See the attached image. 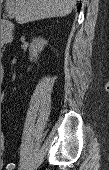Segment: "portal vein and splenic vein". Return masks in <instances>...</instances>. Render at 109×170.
<instances>
[{
  "label": "portal vein and splenic vein",
  "mask_w": 109,
  "mask_h": 170,
  "mask_svg": "<svg viewBox=\"0 0 109 170\" xmlns=\"http://www.w3.org/2000/svg\"><path fill=\"white\" fill-rule=\"evenodd\" d=\"M6 12H7V15H8L9 18H14L15 17V13H14L13 9L10 6L6 7Z\"/></svg>",
  "instance_id": "portal-vein-and-splenic-vein-1"
}]
</instances>
